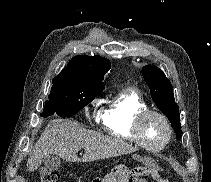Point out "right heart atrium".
Instances as JSON below:
<instances>
[{
    "label": "right heart atrium",
    "instance_id": "1",
    "mask_svg": "<svg viewBox=\"0 0 211 182\" xmlns=\"http://www.w3.org/2000/svg\"><path fill=\"white\" fill-rule=\"evenodd\" d=\"M91 105H92L93 107L96 106V105H97V100L93 101V102L91 103Z\"/></svg>",
    "mask_w": 211,
    "mask_h": 182
}]
</instances>
